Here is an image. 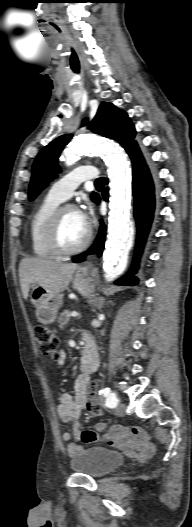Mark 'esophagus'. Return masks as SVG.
Here are the masks:
<instances>
[{
    "label": "esophagus",
    "instance_id": "1",
    "mask_svg": "<svg viewBox=\"0 0 192 527\" xmlns=\"http://www.w3.org/2000/svg\"><path fill=\"white\" fill-rule=\"evenodd\" d=\"M93 266V262L92 261H87L82 267H81V270H87L89 268H91Z\"/></svg>",
    "mask_w": 192,
    "mask_h": 527
}]
</instances>
